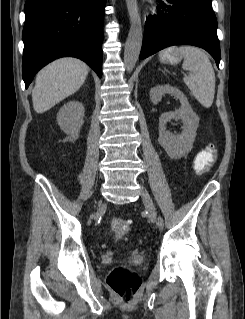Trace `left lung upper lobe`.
I'll use <instances>...</instances> for the list:
<instances>
[{"label": "left lung upper lobe", "mask_w": 245, "mask_h": 319, "mask_svg": "<svg viewBox=\"0 0 245 319\" xmlns=\"http://www.w3.org/2000/svg\"><path fill=\"white\" fill-rule=\"evenodd\" d=\"M197 1L201 2L203 4H206V5H209V6H211V4H212V0H197Z\"/></svg>", "instance_id": "left-lung-upper-lobe-1"}]
</instances>
